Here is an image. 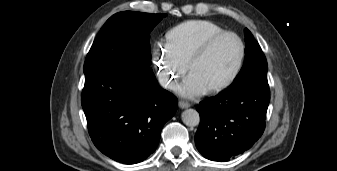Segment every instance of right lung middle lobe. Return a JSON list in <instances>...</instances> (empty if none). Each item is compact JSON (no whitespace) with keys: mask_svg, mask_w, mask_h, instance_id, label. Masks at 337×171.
Returning a JSON list of instances; mask_svg holds the SVG:
<instances>
[{"mask_svg":"<svg viewBox=\"0 0 337 171\" xmlns=\"http://www.w3.org/2000/svg\"><path fill=\"white\" fill-rule=\"evenodd\" d=\"M166 14L124 11L110 17L96 36L84 63V72L117 62L138 69L151 64L150 32Z\"/></svg>","mask_w":337,"mask_h":171,"instance_id":"right-lung-middle-lobe-1","label":"right lung middle lobe"}]
</instances>
